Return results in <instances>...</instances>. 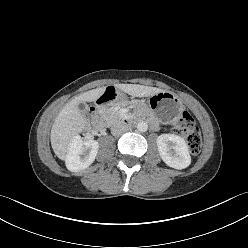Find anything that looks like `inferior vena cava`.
<instances>
[{"mask_svg":"<svg viewBox=\"0 0 248 248\" xmlns=\"http://www.w3.org/2000/svg\"><path fill=\"white\" fill-rule=\"evenodd\" d=\"M128 127L126 126L125 123L123 122H117L115 124L112 125L111 127V133L113 135H120L122 133H124L125 131H127Z\"/></svg>","mask_w":248,"mask_h":248,"instance_id":"602c4592","label":"inferior vena cava"}]
</instances>
